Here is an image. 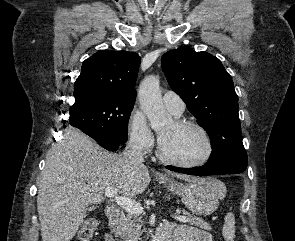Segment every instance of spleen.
<instances>
[{"label": "spleen", "instance_id": "spleen-1", "mask_svg": "<svg viewBox=\"0 0 295 241\" xmlns=\"http://www.w3.org/2000/svg\"><path fill=\"white\" fill-rule=\"evenodd\" d=\"M222 229L223 237L226 241H234L235 238V216L233 213H227L224 218Z\"/></svg>", "mask_w": 295, "mask_h": 241}]
</instances>
